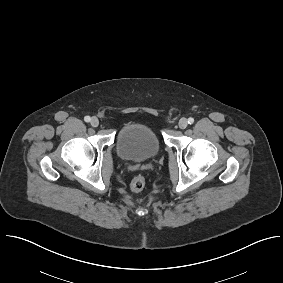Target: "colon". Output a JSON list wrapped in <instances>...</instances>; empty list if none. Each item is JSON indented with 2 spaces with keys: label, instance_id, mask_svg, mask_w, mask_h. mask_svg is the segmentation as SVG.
<instances>
[{
  "label": "colon",
  "instance_id": "1",
  "mask_svg": "<svg viewBox=\"0 0 283 283\" xmlns=\"http://www.w3.org/2000/svg\"><path fill=\"white\" fill-rule=\"evenodd\" d=\"M145 184V177L143 175H136L130 183V188L133 192H140L144 189Z\"/></svg>",
  "mask_w": 283,
  "mask_h": 283
}]
</instances>
